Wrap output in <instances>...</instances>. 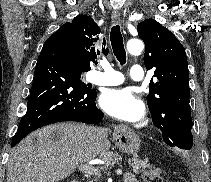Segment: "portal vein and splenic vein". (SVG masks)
Here are the masks:
<instances>
[{"mask_svg":"<svg viewBox=\"0 0 211 182\" xmlns=\"http://www.w3.org/2000/svg\"><path fill=\"white\" fill-rule=\"evenodd\" d=\"M80 171H82V172H84V173H92V171L94 170V169H91V168H89V167H87V166H84V165H81L80 166ZM122 171L120 170V169H116V173H121Z\"/></svg>","mask_w":211,"mask_h":182,"instance_id":"obj_1","label":"portal vein and splenic vein"}]
</instances>
